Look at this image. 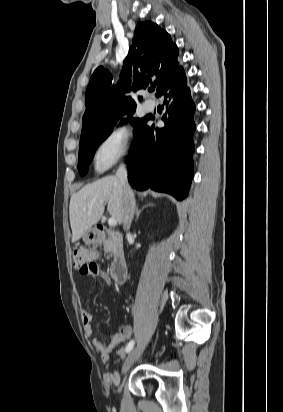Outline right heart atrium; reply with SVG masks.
I'll return each instance as SVG.
<instances>
[{"label": "right heart atrium", "mask_w": 283, "mask_h": 412, "mask_svg": "<svg viewBox=\"0 0 283 412\" xmlns=\"http://www.w3.org/2000/svg\"><path fill=\"white\" fill-rule=\"evenodd\" d=\"M133 135L130 128L118 126L112 129L100 142L95 161L97 168L105 170L125 157L132 149Z\"/></svg>", "instance_id": "d8ad5b80"}]
</instances>
